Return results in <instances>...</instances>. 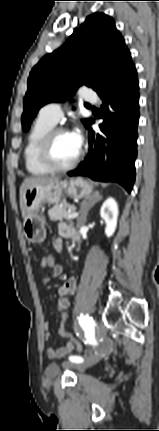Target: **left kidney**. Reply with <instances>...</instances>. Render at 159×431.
I'll return each mask as SVG.
<instances>
[{"mask_svg": "<svg viewBox=\"0 0 159 431\" xmlns=\"http://www.w3.org/2000/svg\"><path fill=\"white\" fill-rule=\"evenodd\" d=\"M118 205L114 198H108L102 205L100 216L106 223L105 234L111 237L117 227Z\"/></svg>", "mask_w": 159, "mask_h": 431, "instance_id": "obj_1", "label": "left kidney"}]
</instances>
